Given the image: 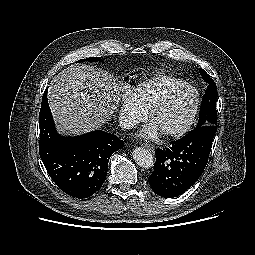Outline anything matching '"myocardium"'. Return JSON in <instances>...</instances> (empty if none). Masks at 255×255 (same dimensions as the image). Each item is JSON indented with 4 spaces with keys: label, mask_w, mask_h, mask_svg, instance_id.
Listing matches in <instances>:
<instances>
[{
    "label": "myocardium",
    "mask_w": 255,
    "mask_h": 255,
    "mask_svg": "<svg viewBox=\"0 0 255 255\" xmlns=\"http://www.w3.org/2000/svg\"><path fill=\"white\" fill-rule=\"evenodd\" d=\"M186 90H192L195 94L192 112L188 120L180 127L173 130L161 132L165 138H168V139L179 138L183 136L184 134H186L191 129V127L193 126V124L195 123L197 119L199 108H200V93L198 89L194 85L186 83L182 85L181 87L177 88L176 90H174L173 92H171L170 94H168L165 98H163L160 102H158L150 111V118H151V121L153 122L156 116L161 111H163L178 95H180Z\"/></svg>",
    "instance_id": "myocardium-1"
}]
</instances>
